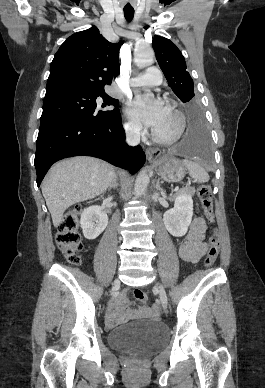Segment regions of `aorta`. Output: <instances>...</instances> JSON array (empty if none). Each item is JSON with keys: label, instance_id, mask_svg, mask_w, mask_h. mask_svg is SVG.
I'll return each mask as SVG.
<instances>
[{"label": "aorta", "instance_id": "aorta-1", "mask_svg": "<svg viewBox=\"0 0 265 388\" xmlns=\"http://www.w3.org/2000/svg\"><path fill=\"white\" fill-rule=\"evenodd\" d=\"M154 58V52L149 49V50H144L140 51L136 55L135 62L138 67H145L148 66L152 63ZM152 94H147V97H151ZM149 176L147 174V170L143 169L137 176L136 181H135V195L136 196H141L146 188L147 185L149 184Z\"/></svg>", "mask_w": 265, "mask_h": 388}]
</instances>
